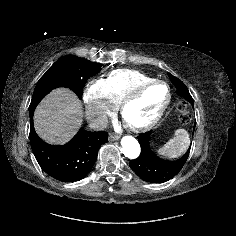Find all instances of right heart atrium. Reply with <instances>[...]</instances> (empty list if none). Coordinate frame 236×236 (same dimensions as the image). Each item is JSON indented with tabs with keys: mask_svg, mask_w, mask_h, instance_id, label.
Instances as JSON below:
<instances>
[{
	"mask_svg": "<svg viewBox=\"0 0 236 236\" xmlns=\"http://www.w3.org/2000/svg\"><path fill=\"white\" fill-rule=\"evenodd\" d=\"M83 102L89 123L99 128L104 125L107 117L115 110L106 93L103 79L90 81L83 92Z\"/></svg>",
	"mask_w": 236,
	"mask_h": 236,
	"instance_id": "d8ad5b80",
	"label": "right heart atrium"
}]
</instances>
